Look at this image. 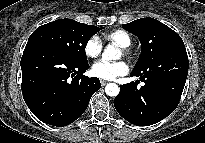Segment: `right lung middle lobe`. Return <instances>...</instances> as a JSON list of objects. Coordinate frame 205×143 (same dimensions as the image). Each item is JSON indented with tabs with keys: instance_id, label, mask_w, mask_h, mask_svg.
Segmentation results:
<instances>
[{
	"instance_id": "obj_1",
	"label": "right lung middle lobe",
	"mask_w": 205,
	"mask_h": 143,
	"mask_svg": "<svg viewBox=\"0 0 205 143\" xmlns=\"http://www.w3.org/2000/svg\"><path fill=\"white\" fill-rule=\"evenodd\" d=\"M99 28L72 19H58L38 27L28 42H39L50 46L68 59L77 63H87L85 47Z\"/></svg>"
}]
</instances>
